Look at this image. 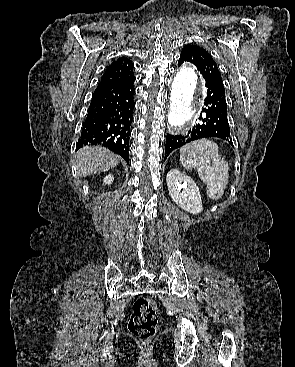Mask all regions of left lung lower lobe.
<instances>
[{
    "label": "left lung lower lobe",
    "mask_w": 295,
    "mask_h": 367,
    "mask_svg": "<svg viewBox=\"0 0 295 367\" xmlns=\"http://www.w3.org/2000/svg\"><path fill=\"white\" fill-rule=\"evenodd\" d=\"M183 62L185 61L179 60L178 66ZM204 79L206 81L207 97L204 100L205 108L202 109L200 114V122L187 135H167L164 160L173 150L201 138L217 137L233 145L222 80L214 76H204Z\"/></svg>",
    "instance_id": "obj_1"
}]
</instances>
